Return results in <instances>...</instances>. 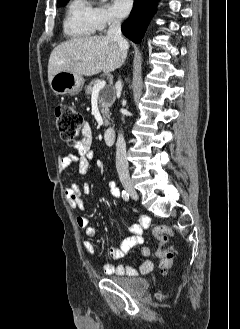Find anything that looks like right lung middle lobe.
I'll list each match as a JSON object with an SVG mask.
<instances>
[{"instance_id":"obj_1","label":"right lung middle lobe","mask_w":240,"mask_h":329,"mask_svg":"<svg viewBox=\"0 0 240 329\" xmlns=\"http://www.w3.org/2000/svg\"><path fill=\"white\" fill-rule=\"evenodd\" d=\"M69 0H60V1H57L60 6H64L66 4V2H68Z\"/></svg>"}]
</instances>
